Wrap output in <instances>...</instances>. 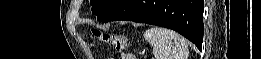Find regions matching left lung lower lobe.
I'll return each mask as SVG.
<instances>
[{
    "instance_id": "0a47b994",
    "label": "left lung lower lobe",
    "mask_w": 261,
    "mask_h": 59,
    "mask_svg": "<svg viewBox=\"0 0 261 59\" xmlns=\"http://www.w3.org/2000/svg\"><path fill=\"white\" fill-rule=\"evenodd\" d=\"M203 8V0H120L98 20H128L173 29L201 50Z\"/></svg>"
}]
</instances>
